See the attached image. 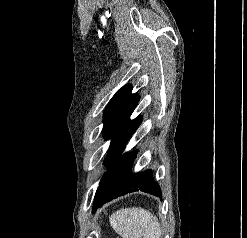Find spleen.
<instances>
[{
	"instance_id": "obj_1",
	"label": "spleen",
	"mask_w": 247,
	"mask_h": 238,
	"mask_svg": "<svg viewBox=\"0 0 247 238\" xmlns=\"http://www.w3.org/2000/svg\"><path fill=\"white\" fill-rule=\"evenodd\" d=\"M109 221L122 238H160L162 234L157 217L143 208L120 209Z\"/></svg>"
}]
</instances>
